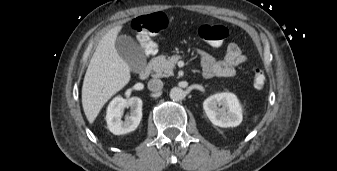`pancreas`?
Returning <instances> with one entry per match:
<instances>
[{
    "instance_id": "pancreas-1",
    "label": "pancreas",
    "mask_w": 337,
    "mask_h": 171,
    "mask_svg": "<svg viewBox=\"0 0 337 171\" xmlns=\"http://www.w3.org/2000/svg\"><path fill=\"white\" fill-rule=\"evenodd\" d=\"M182 57L179 55H174L166 58L165 56H157L153 58L150 62L152 70L154 72L155 77H168L173 75V68L175 64Z\"/></svg>"
}]
</instances>
